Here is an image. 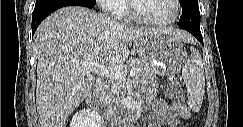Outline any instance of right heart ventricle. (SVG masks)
<instances>
[{"label": "right heart ventricle", "instance_id": "obj_1", "mask_svg": "<svg viewBox=\"0 0 243 127\" xmlns=\"http://www.w3.org/2000/svg\"><path fill=\"white\" fill-rule=\"evenodd\" d=\"M121 6H122V9H123L122 13L126 12L127 11L126 4L123 1L121 2Z\"/></svg>", "mask_w": 243, "mask_h": 127}]
</instances>
